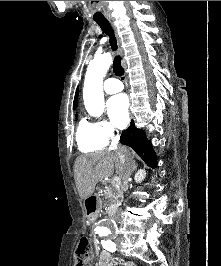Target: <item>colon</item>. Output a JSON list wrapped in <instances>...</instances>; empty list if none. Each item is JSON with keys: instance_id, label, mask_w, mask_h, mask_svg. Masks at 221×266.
Masks as SVG:
<instances>
[{"instance_id": "colon-1", "label": "colon", "mask_w": 221, "mask_h": 266, "mask_svg": "<svg viewBox=\"0 0 221 266\" xmlns=\"http://www.w3.org/2000/svg\"><path fill=\"white\" fill-rule=\"evenodd\" d=\"M75 266H91L93 252L91 248V240L88 237H82L77 245Z\"/></svg>"}]
</instances>
